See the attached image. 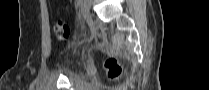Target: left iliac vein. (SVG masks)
Listing matches in <instances>:
<instances>
[{"instance_id":"left-iliac-vein-1","label":"left iliac vein","mask_w":209,"mask_h":90,"mask_svg":"<svg viewBox=\"0 0 209 90\" xmlns=\"http://www.w3.org/2000/svg\"><path fill=\"white\" fill-rule=\"evenodd\" d=\"M92 1L84 0L81 7V13L84 19H88L90 17Z\"/></svg>"}]
</instances>
